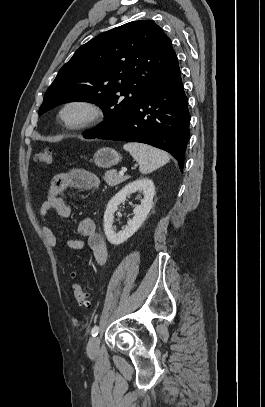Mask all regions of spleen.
Returning <instances> with one entry per match:
<instances>
[{"instance_id": "spleen-1", "label": "spleen", "mask_w": 265, "mask_h": 407, "mask_svg": "<svg viewBox=\"0 0 265 407\" xmlns=\"http://www.w3.org/2000/svg\"><path fill=\"white\" fill-rule=\"evenodd\" d=\"M123 148L139 163L142 174H148L169 162V155L150 145L129 142Z\"/></svg>"}]
</instances>
